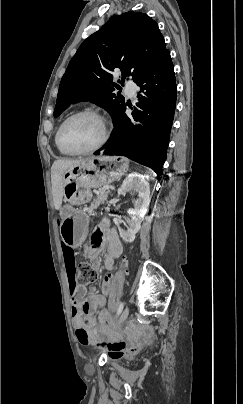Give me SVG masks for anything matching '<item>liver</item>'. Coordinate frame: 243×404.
I'll use <instances>...</instances> for the list:
<instances>
[{
    "mask_svg": "<svg viewBox=\"0 0 243 404\" xmlns=\"http://www.w3.org/2000/svg\"><path fill=\"white\" fill-rule=\"evenodd\" d=\"M82 162H88V158L86 160H82V158H78V160H69V158L55 160L51 168L52 196L55 210H60L61 208L64 188L63 174L65 170L79 166Z\"/></svg>",
    "mask_w": 243,
    "mask_h": 404,
    "instance_id": "1",
    "label": "liver"
}]
</instances>
